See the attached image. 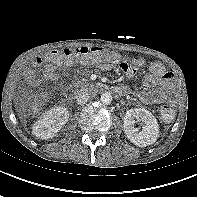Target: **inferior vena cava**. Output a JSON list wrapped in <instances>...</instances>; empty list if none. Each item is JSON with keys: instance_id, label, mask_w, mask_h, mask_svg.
Masks as SVG:
<instances>
[{"instance_id": "obj_1", "label": "inferior vena cava", "mask_w": 197, "mask_h": 197, "mask_svg": "<svg viewBox=\"0 0 197 197\" xmlns=\"http://www.w3.org/2000/svg\"><path fill=\"white\" fill-rule=\"evenodd\" d=\"M89 100V94L86 92H79L76 94V101L79 105H84Z\"/></svg>"}]
</instances>
